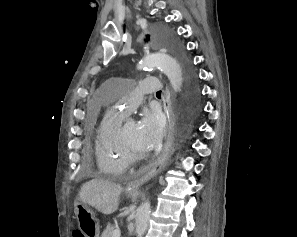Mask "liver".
Listing matches in <instances>:
<instances>
[{"label":"liver","mask_w":297,"mask_h":237,"mask_svg":"<svg viewBox=\"0 0 297 237\" xmlns=\"http://www.w3.org/2000/svg\"><path fill=\"white\" fill-rule=\"evenodd\" d=\"M122 190L120 185L95 178L82 186L79 197L84 204H88L99 212L109 215L118 209L119 196Z\"/></svg>","instance_id":"liver-1"}]
</instances>
